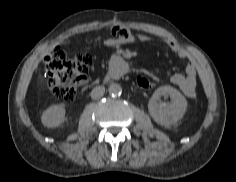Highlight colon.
Returning <instances> with one entry per match:
<instances>
[{"instance_id": "colon-1", "label": "colon", "mask_w": 236, "mask_h": 182, "mask_svg": "<svg viewBox=\"0 0 236 182\" xmlns=\"http://www.w3.org/2000/svg\"><path fill=\"white\" fill-rule=\"evenodd\" d=\"M92 65L93 57L89 53L70 58L60 48L53 50L45 61L51 93L63 101L73 100L78 87L86 81ZM136 82L141 89L154 87V83L144 75L137 76Z\"/></svg>"}]
</instances>
